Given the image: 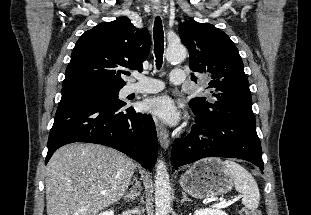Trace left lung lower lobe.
<instances>
[{
  "label": "left lung lower lobe",
  "instance_id": "left-lung-lower-lobe-1",
  "mask_svg": "<svg viewBox=\"0 0 311 215\" xmlns=\"http://www.w3.org/2000/svg\"><path fill=\"white\" fill-rule=\"evenodd\" d=\"M194 113L197 119L191 133L174 142L173 167L214 156L244 159L263 171L261 145L253 114L230 112L210 116L197 111Z\"/></svg>",
  "mask_w": 311,
  "mask_h": 215
}]
</instances>
